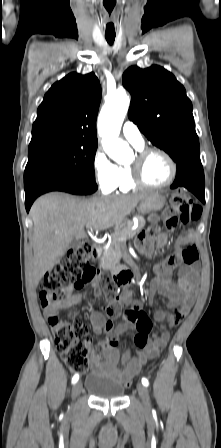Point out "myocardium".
<instances>
[{
	"mask_svg": "<svg viewBox=\"0 0 221 448\" xmlns=\"http://www.w3.org/2000/svg\"><path fill=\"white\" fill-rule=\"evenodd\" d=\"M154 153L162 155L167 160L171 168L170 178L165 183L159 185L148 183L143 174V169L147 158ZM129 168L131 173V180L136 186L151 189H163L170 186L175 181L178 173V167L173 157L165 150L156 147L140 150L137 153L134 162L129 166Z\"/></svg>",
	"mask_w": 221,
	"mask_h": 448,
	"instance_id": "1",
	"label": "myocardium"
}]
</instances>
